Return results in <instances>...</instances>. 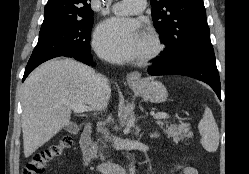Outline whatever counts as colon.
I'll return each instance as SVG.
<instances>
[{
	"label": "colon",
	"instance_id": "5ec220e1",
	"mask_svg": "<svg viewBox=\"0 0 249 174\" xmlns=\"http://www.w3.org/2000/svg\"><path fill=\"white\" fill-rule=\"evenodd\" d=\"M72 144L70 135L62 136L45 150L35 153L26 163L23 174H43L48 164L62 156Z\"/></svg>",
	"mask_w": 249,
	"mask_h": 174
}]
</instances>
